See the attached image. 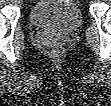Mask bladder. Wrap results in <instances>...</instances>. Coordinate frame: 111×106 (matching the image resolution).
<instances>
[{
	"mask_svg": "<svg viewBox=\"0 0 111 106\" xmlns=\"http://www.w3.org/2000/svg\"><path fill=\"white\" fill-rule=\"evenodd\" d=\"M29 20L41 29L70 33L82 26L83 15L73 0H38L30 9Z\"/></svg>",
	"mask_w": 111,
	"mask_h": 106,
	"instance_id": "obj_1",
	"label": "bladder"
}]
</instances>
